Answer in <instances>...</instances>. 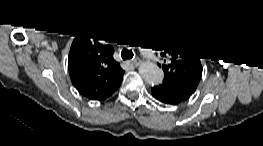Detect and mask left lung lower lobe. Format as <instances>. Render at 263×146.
Wrapping results in <instances>:
<instances>
[{
  "mask_svg": "<svg viewBox=\"0 0 263 146\" xmlns=\"http://www.w3.org/2000/svg\"><path fill=\"white\" fill-rule=\"evenodd\" d=\"M151 92L156 99L166 104L176 105L188 99L178 93L172 85L165 82L160 85L154 86L151 89Z\"/></svg>",
  "mask_w": 263,
  "mask_h": 146,
  "instance_id": "obj_1",
  "label": "left lung lower lobe"
}]
</instances>
